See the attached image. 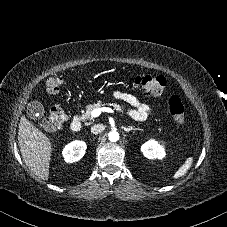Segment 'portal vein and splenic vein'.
<instances>
[{
  "label": "portal vein and splenic vein",
  "mask_w": 227,
  "mask_h": 227,
  "mask_svg": "<svg viewBox=\"0 0 227 227\" xmlns=\"http://www.w3.org/2000/svg\"><path fill=\"white\" fill-rule=\"evenodd\" d=\"M101 112H108V113H114V111L111 109V108H108V107H102V108H98V109H94L91 113V116L93 118H96L98 117Z\"/></svg>",
  "instance_id": "obj_1"
}]
</instances>
